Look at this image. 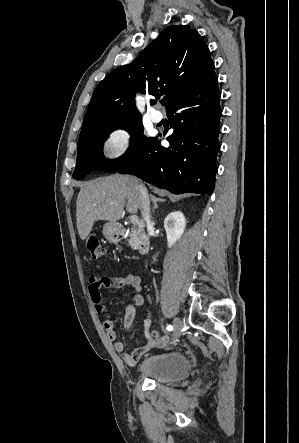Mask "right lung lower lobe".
Wrapping results in <instances>:
<instances>
[{"instance_id": "obj_1", "label": "right lung lower lobe", "mask_w": 299, "mask_h": 443, "mask_svg": "<svg viewBox=\"0 0 299 443\" xmlns=\"http://www.w3.org/2000/svg\"><path fill=\"white\" fill-rule=\"evenodd\" d=\"M216 74L179 98L168 110L173 134L163 147L156 138L133 162L117 172L140 179L174 194L208 193L215 185L221 108Z\"/></svg>"}]
</instances>
